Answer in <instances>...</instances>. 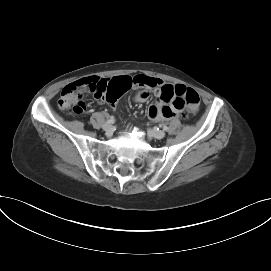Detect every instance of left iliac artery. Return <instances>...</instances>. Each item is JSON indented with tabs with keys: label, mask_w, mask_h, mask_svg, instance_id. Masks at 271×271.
Segmentation results:
<instances>
[{
	"label": "left iliac artery",
	"mask_w": 271,
	"mask_h": 271,
	"mask_svg": "<svg viewBox=\"0 0 271 271\" xmlns=\"http://www.w3.org/2000/svg\"><path fill=\"white\" fill-rule=\"evenodd\" d=\"M168 129L169 128L167 126H165V125L163 126V130L168 131Z\"/></svg>",
	"instance_id": "left-iliac-artery-1"
}]
</instances>
